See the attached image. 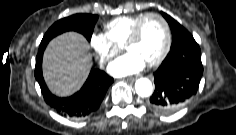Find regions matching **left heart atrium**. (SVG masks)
<instances>
[{
    "label": "left heart atrium",
    "mask_w": 236,
    "mask_h": 135,
    "mask_svg": "<svg viewBox=\"0 0 236 135\" xmlns=\"http://www.w3.org/2000/svg\"><path fill=\"white\" fill-rule=\"evenodd\" d=\"M145 62L134 53H126L125 55L114 60L108 67L111 75L123 77L140 72Z\"/></svg>",
    "instance_id": "obj_1"
}]
</instances>
